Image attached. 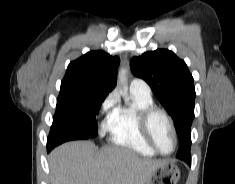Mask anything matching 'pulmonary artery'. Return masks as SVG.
Instances as JSON below:
<instances>
[{"label": "pulmonary artery", "instance_id": "pulmonary-artery-1", "mask_svg": "<svg viewBox=\"0 0 235 184\" xmlns=\"http://www.w3.org/2000/svg\"><path fill=\"white\" fill-rule=\"evenodd\" d=\"M130 89L131 91L138 95V96H142V97H146L149 98L151 97V88L148 85L147 82H145L144 80L140 79V78H133L131 83H130Z\"/></svg>", "mask_w": 235, "mask_h": 184}]
</instances>
